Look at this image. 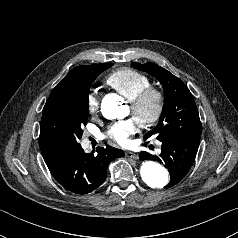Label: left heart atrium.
Listing matches in <instances>:
<instances>
[{
    "label": "left heart atrium",
    "instance_id": "39dd6f15",
    "mask_svg": "<svg viewBox=\"0 0 238 238\" xmlns=\"http://www.w3.org/2000/svg\"><path fill=\"white\" fill-rule=\"evenodd\" d=\"M138 126L135 119L130 118L111 125L107 131V137L121 146H128L131 137L137 132Z\"/></svg>",
    "mask_w": 238,
    "mask_h": 238
}]
</instances>
